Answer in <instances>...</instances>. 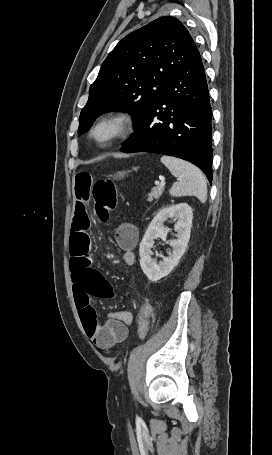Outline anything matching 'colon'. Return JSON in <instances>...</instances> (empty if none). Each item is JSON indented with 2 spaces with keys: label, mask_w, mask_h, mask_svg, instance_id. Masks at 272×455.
<instances>
[{
  "label": "colon",
  "mask_w": 272,
  "mask_h": 455,
  "mask_svg": "<svg viewBox=\"0 0 272 455\" xmlns=\"http://www.w3.org/2000/svg\"><path fill=\"white\" fill-rule=\"evenodd\" d=\"M117 188L115 184L105 178L97 180L92 190V198L94 201V209L98 218L106 222L109 220L117 204ZM151 315V307L147 304L143 305L138 314L137 333L140 340H144L149 331V316Z\"/></svg>",
  "instance_id": "obj_1"
}]
</instances>
